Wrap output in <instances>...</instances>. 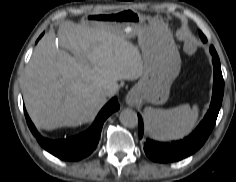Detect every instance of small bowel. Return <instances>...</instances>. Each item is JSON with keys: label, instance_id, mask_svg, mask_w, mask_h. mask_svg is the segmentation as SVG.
<instances>
[{"label": "small bowel", "instance_id": "obj_1", "mask_svg": "<svg viewBox=\"0 0 236 182\" xmlns=\"http://www.w3.org/2000/svg\"><path fill=\"white\" fill-rule=\"evenodd\" d=\"M193 49H194V46L191 43H189L187 45V50L191 52V51H193Z\"/></svg>", "mask_w": 236, "mask_h": 182}]
</instances>
